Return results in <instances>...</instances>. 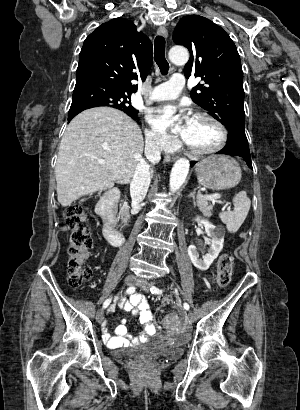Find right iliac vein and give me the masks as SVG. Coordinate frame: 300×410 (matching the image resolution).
Segmentation results:
<instances>
[{"label":"right iliac vein","instance_id":"1","mask_svg":"<svg viewBox=\"0 0 300 410\" xmlns=\"http://www.w3.org/2000/svg\"><path fill=\"white\" fill-rule=\"evenodd\" d=\"M137 282V277L133 274L126 276L125 284L128 286H133ZM104 319V311L103 309H99L96 313V320L97 322L101 323Z\"/></svg>","mask_w":300,"mask_h":410}]
</instances>
